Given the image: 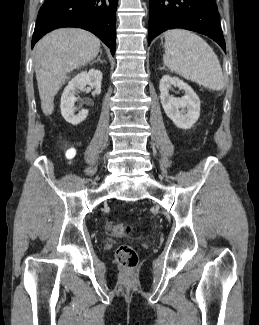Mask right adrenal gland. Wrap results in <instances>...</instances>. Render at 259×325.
<instances>
[{
  "label": "right adrenal gland",
  "instance_id": "right-adrenal-gland-1",
  "mask_svg": "<svg viewBox=\"0 0 259 325\" xmlns=\"http://www.w3.org/2000/svg\"><path fill=\"white\" fill-rule=\"evenodd\" d=\"M101 56H102V50H100V55L98 56L97 60L95 61H92L90 64H94V63H97L98 61H100L101 63H103V61L101 60Z\"/></svg>",
  "mask_w": 259,
  "mask_h": 325
}]
</instances>
